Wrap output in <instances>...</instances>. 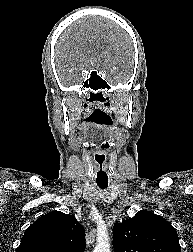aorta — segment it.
Masks as SVG:
<instances>
[{
	"label": "aorta",
	"mask_w": 193,
	"mask_h": 252,
	"mask_svg": "<svg viewBox=\"0 0 193 252\" xmlns=\"http://www.w3.org/2000/svg\"><path fill=\"white\" fill-rule=\"evenodd\" d=\"M93 252H111L110 243L108 240H99Z\"/></svg>",
	"instance_id": "obj_1"
}]
</instances>
